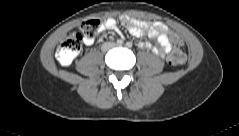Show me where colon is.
<instances>
[{
	"mask_svg": "<svg viewBox=\"0 0 239 136\" xmlns=\"http://www.w3.org/2000/svg\"><path fill=\"white\" fill-rule=\"evenodd\" d=\"M100 22L90 19L83 22L79 31L68 32L59 42L56 57L62 66H69L73 59L77 56L82 48L84 38L93 39L98 33ZM170 39L174 45V50L168 58V62L172 66L181 65L186 58L183 42L180 36L175 33L170 35Z\"/></svg>",
	"mask_w": 239,
	"mask_h": 136,
	"instance_id": "5ec220e1",
	"label": "colon"
}]
</instances>
